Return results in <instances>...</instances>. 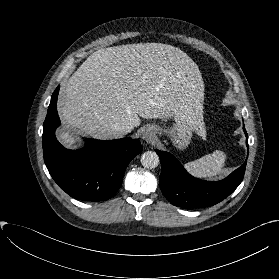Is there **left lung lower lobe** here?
Segmentation results:
<instances>
[{
    "mask_svg": "<svg viewBox=\"0 0 279 279\" xmlns=\"http://www.w3.org/2000/svg\"><path fill=\"white\" fill-rule=\"evenodd\" d=\"M246 144L248 146V135ZM162 171L160 188L166 199L173 205L184 209H198L213 206L229 196L242 182L246 161L228 177L211 182L194 178L170 153L156 150Z\"/></svg>",
    "mask_w": 279,
    "mask_h": 279,
    "instance_id": "1",
    "label": "left lung lower lobe"
}]
</instances>
